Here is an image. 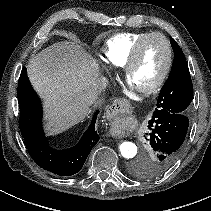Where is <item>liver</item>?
Masks as SVG:
<instances>
[{
    "mask_svg": "<svg viewBox=\"0 0 211 211\" xmlns=\"http://www.w3.org/2000/svg\"><path fill=\"white\" fill-rule=\"evenodd\" d=\"M27 71L44 102L48 135L80 123L102 90L98 64L75 42L45 48L31 58Z\"/></svg>",
    "mask_w": 211,
    "mask_h": 211,
    "instance_id": "liver-1",
    "label": "liver"
}]
</instances>
